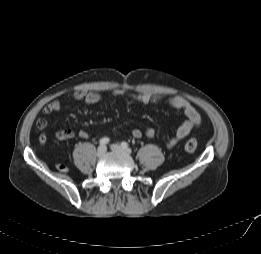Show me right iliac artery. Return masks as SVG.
<instances>
[{
	"label": "right iliac artery",
	"instance_id": "right-iliac-artery-1",
	"mask_svg": "<svg viewBox=\"0 0 261 254\" xmlns=\"http://www.w3.org/2000/svg\"><path fill=\"white\" fill-rule=\"evenodd\" d=\"M109 141H110V139L108 137H104V138L100 139L99 143H100V145H106L109 143Z\"/></svg>",
	"mask_w": 261,
	"mask_h": 254
}]
</instances>
